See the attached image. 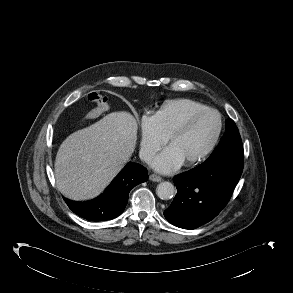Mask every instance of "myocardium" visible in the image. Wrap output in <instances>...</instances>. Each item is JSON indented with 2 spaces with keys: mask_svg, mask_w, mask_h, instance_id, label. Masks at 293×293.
I'll return each instance as SVG.
<instances>
[{
  "mask_svg": "<svg viewBox=\"0 0 293 293\" xmlns=\"http://www.w3.org/2000/svg\"><path fill=\"white\" fill-rule=\"evenodd\" d=\"M205 114H214L216 115L217 119H218V127H217V131L213 137V139L211 140V142L208 144V146L196 157L192 158L191 160L184 162V165L187 167H192L195 166L197 164H199L200 162H202L203 160H205L210 153L214 150V148L216 147L221 133H222V129H223V121H222V117L221 114L215 110V109H211V108H207L204 110H200L198 112H195L193 114H191L189 117H187L175 130H173L170 135L167 137V143L170 144V142L175 139L176 137L184 134L189 128L190 126L193 124V122L198 119L199 117L205 115Z\"/></svg>",
  "mask_w": 293,
  "mask_h": 293,
  "instance_id": "1",
  "label": "myocardium"
}]
</instances>
